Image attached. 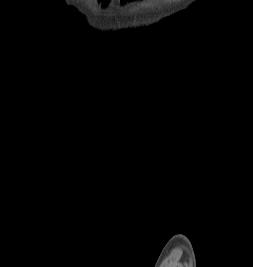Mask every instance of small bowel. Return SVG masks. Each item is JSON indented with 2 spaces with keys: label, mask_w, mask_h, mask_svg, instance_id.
Here are the masks:
<instances>
[{
  "label": "small bowel",
  "mask_w": 253,
  "mask_h": 267,
  "mask_svg": "<svg viewBox=\"0 0 253 267\" xmlns=\"http://www.w3.org/2000/svg\"><path fill=\"white\" fill-rule=\"evenodd\" d=\"M109 0H100V2L102 4H106ZM127 1H131V0H122V2H127Z\"/></svg>",
  "instance_id": "c3829d8e"
}]
</instances>
